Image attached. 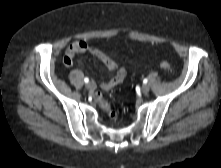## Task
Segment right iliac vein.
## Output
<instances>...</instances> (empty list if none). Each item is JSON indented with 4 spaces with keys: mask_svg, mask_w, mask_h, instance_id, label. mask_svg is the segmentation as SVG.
Returning <instances> with one entry per match:
<instances>
[{
    "mask_svg": "<svg viewBox=\"0 0 221 168\" xmlns=\"http://www.w3.org/2000/svg\"><path fill=\"white\" fill-rule=\"evenodd\" d=\"M86 88L88 90H92L94 88V84L92 82H89V83L86 84Z\"/></svg>",
    "mask_w": 221,
    "mask_h": 168,
    "instance_id": "1",
    "label": "right iliac vein"
}]
</instances>
